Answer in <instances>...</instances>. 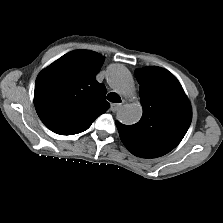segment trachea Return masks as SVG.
Listing matches in <instances>:
<instances>
[{"label": "trachea", "mask_w": 223, "mask_h": 223, "mask_svg": "<svg viewBox=\"0 0 223 223\" xmlns=\"http://www.w3.org/2000/svg\"><path fill=\"white\" fill-rule=\"evenodd\" d=\"M107 100H109L110 102H114V103H121L120 96L115 92L109 93L107 95Z\"/></svg>", "instance_id": "3493384b"}]
</instances>
